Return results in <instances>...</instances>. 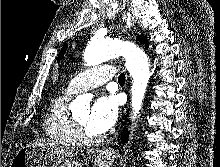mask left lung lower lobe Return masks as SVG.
<instances>
[{"label": "left lung lower lobe", "mask_w": 220, "mask_h": 167, "mask_svg": "<svg viewBox=\"0 0 220 167\" xmlns=\"http://www.w3.org/2000/svg\"><path fill=\"white\" fill-rule=\"evenodd\" d=\"M127 137H128L127 133L122 134L121 140H122L123 143L127 141Z\"/></svg>", "instance_id": "obj_1"}]
</instances>
